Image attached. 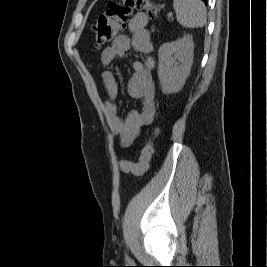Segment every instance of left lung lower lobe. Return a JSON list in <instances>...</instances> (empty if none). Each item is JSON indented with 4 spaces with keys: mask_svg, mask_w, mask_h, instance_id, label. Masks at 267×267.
Instances as JSON below:
<instances>
[{
    "mask_svg": "<svg viewBox=\"0 0 267 267\" xmlns=\"http://www.w3.org/2000/svg\"><path fill=\"white\" fill-rule=\"evenodd\" d=\"M205 3L207 2V0H203Z\"/></svg>",
    "mask_w": 267,
    "mask_h": 267,
    "instance_id": "0a47b994",
    "label": "left lung lower lobe"
}]
</instances>
